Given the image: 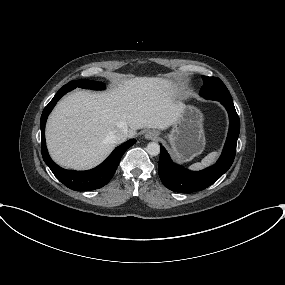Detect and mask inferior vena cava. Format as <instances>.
Here are the masks:
<instances>
[{"label":"inferior vena cava","mask_w":285,"mask_h":285,"mask_svg":"<svg viewBox=\"0 0 285 285\" xmlns=\"http://www.w3.org/2000/svg\"><path fill=\"white\" fill-rule=\"evenodd\" d=\"M128 137H129L128 129L122 128L113 132L110 136V139L113 143L119 144L125 142Z\"/></svg>","instance_id":"obj_1"}]
</instances>
